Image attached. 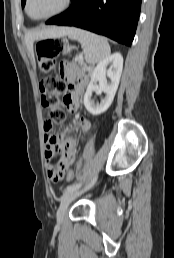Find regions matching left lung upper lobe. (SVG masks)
I'll list each match as a JSON object with an SVG mask.
<instances>
[{"label":"left lung upper lobe","instance_id":"obj_1","mask_svg":"<svg viewBox=\"0 0 174 258\" xmlns=\"http://www.w3.org/2000/svg\"><path fill=\"white\" fill-rule=\"evenodd\" d=\"M21 1H22V7H24L26 0H21Z\"/></svg>","mask_w":174,"mask_h":258}]
</instances>
